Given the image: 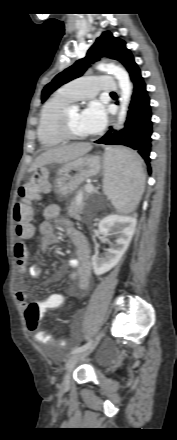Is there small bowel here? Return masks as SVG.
<instances>
[{
	"mask_svg": "<svg viewBox=\"0 0 177 440\" xmlns=\"http://www.w3.org/2000/svg\"><path fill=\"white\" fill-rule=\"evenodd\" d=\"M59 213L60 208L55 204L48 205L43 209L42 216L44 221L38 226V233L40 235L39 246L42 250H45L58 243L59 237L55 233L53 224L50 222L51 220H56L58 225L66 230L67 235L76 248L77 258L68 261L69 266L76 269L69 274V279L76 285L78 290H87L91 285L90 247L88 241L84 234L72 227L68 221L59 218ZM33 232L34 228L32 227L31 234L27 237H30ZM26 249V245L21 242L17 243L14 248V255L18 265V275L20 278H23L26 275L36 276L40 273L39 268L36 266L27 267ZM28 297L29 291L26 288H19L17 290L16 298L23 309H27L28 307ZM46 298L66 299V296L62 293H54L48 295ZM41 343L44 344V342Z\"/></svg>",
	"mask_w": 177,
	"mask_h": 440,
	"instance_id": "c3829d8e",
	"label": "small bowel"
}]
</instances>
